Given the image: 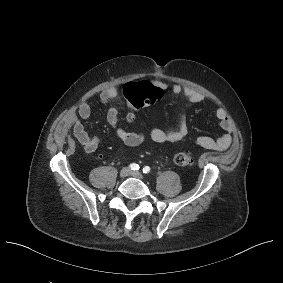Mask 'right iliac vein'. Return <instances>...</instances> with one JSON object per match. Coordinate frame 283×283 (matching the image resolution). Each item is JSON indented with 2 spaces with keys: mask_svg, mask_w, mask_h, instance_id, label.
Instances as JSON below:
<instances>
[{
  "mask_svg": "<svg viewBox=\"0 0 283 283\" xmlns=\"http://www.w3.org/2000/svg\"><path fill=\"white\" fill-rule=\"evenodd\" d=\"M130 173H131V170L128 167H124L120 171V177L125 178V177L129 176Z\"/></svg>",
  "mask_w": 283,
  "mask_h": 283,
  "instance_id": "63e3f726",
  "label": "right iliac vein"
}]
</instances>
